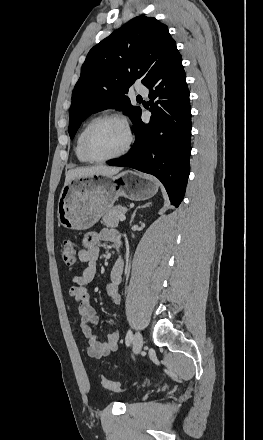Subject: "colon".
Segmentation results:
<instances>
[{"instance_id":"obj_1","label":"colon","mask_w":263,"mask_h":440,"mask_svg":"<svg viewBox=\"0 0 263 440\" xmlns=\"http://www.w3.org/2000/svg\"><path fill=\"white\" fill-rule=\"evenodd\" d=\"M60 254L63 259L64 264L69 269H74L77 265L76 258V244L69 239L62 242L60 247ZM101 386L109 391L119 392L123 389V386L119 382H114L106 379L105 377L100 378Z\"/></svg>"}]
</instances>
